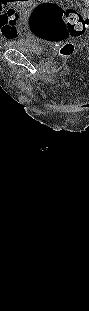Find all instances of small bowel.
<instances>
[{"instance_id":"c3829d8e","label":"small bowel","mask_w":89,"mask_h":311,"mask_svg":"<svg viewBox=\"0 0 89 311\" xmlns=\"http://www.w3.org/2000/svg\"><path fill=\"white\" fill-rule=\"evenodd\" d=\"M17 35H18L17 29L14 31V28H10L9 26L5 25L3 30V37L5 39V44L12 43V41L17 37Z\"/></svg>"}]
</instances>
